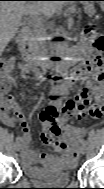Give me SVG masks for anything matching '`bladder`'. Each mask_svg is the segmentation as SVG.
Instances as JSON below:
<instances>
[{
    "label": "bladder",
    "mask_w": 104,
    "mask_h": 189,
    "mask_svg": "<svg viewBox=\"0 0 104 189\" xmlns=\"http://www.w3.org/2000/svg\"><path fill=\"white\" fill-rule=\"evenodd\" d=\"M22 173L38 185H67L71 181V167L69 165L51 164L40 166L35 170L22 169Z\"/></svg>",
    "instance_id": "obj_1"
}]
</instances>
